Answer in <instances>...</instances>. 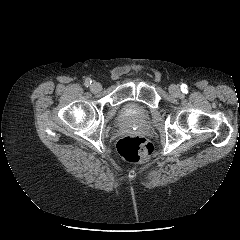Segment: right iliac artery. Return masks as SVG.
<instances>
[{"label": "right iliac artery", "instance_id": "right-iliac-artery-1", "mask_svg": "<svg viewBox=\"0 0 240 240\" xmlns=\"http://www.w3.org/2000/svg\"><path fill=\"white\" fill-rule=\"evenodd\" d=\"M91 84V80L88 78L85 80V86H89Z\"/></svg>", "mask_w": 240, "mask_h": 240}]
</instances>
